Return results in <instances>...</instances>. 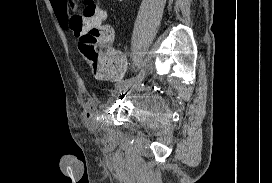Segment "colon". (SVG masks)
I'll return each mask as SVG.
<instances>
[{
  "mask_svg": "<svg viewBox=\"0 0 272 183\" xmlns=\"http://www.w3.org/2000/svg\"><path fill=\"white\" fill-rule=\"evenodd\" d=\"M105 19V11L93 0H84V8L79 13L73 11V0H68L66 26L79 38V51L96 75L112 70L119 59L111 46L114 35L103 24Z\"/></svg>",
  "mask_w": 272,
  "mask_h": 183,
  "instance_id": "1",
  "label": "colon"
}]
</instances>
